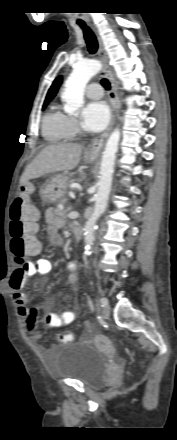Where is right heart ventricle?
I'll return each mask as SVG.
<instances>
[{
	"label": "right heart ventricle",
	"mask_w": 177,
	"mask_h": 440,
	"mask_svg": "<svg viewBox=\"0 0 177 440\" xmlns=\"http://www.w3.org/2000/svg\"><path fill=\"white\" fill-rule=\"evenodd\" d=\"M42 135L50 143H62L70 138L66 128V115L55 104L43 116Z\"/></svg>",
	"instance_id": "obj_1"
}]
</instances>
